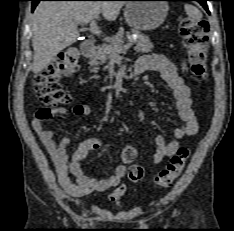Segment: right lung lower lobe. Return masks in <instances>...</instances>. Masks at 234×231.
Masks as SVG:
<instances>
[{
    "label": "right lung lower lobe",
    "mask_w": 234,
    "mask_h": 231,
    "mask_svg": "<svg viewBox=\"0 0 234 231\" xmlns=\"http://www.w3.org/2000/svg\"><path fill=\"white\" fill-rule=\"evenodd\" d=\"M32 1V11H34L35 7L40 1H75V0H30ZM83 1H107V0H83Z\"/></svg>",
    "instance_id": "right-lung-lower-lobe-1"
}]
</instances>
